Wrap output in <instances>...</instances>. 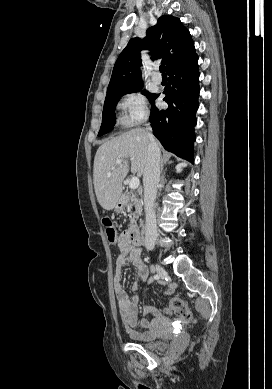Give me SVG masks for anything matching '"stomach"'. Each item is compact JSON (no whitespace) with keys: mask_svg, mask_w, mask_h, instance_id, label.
<instances>
[{"mask_svg":"<svg viewBox=\"0 0 272 389\" xmlns=\"http://www.w3.org/2000/svg\"><path fill=\"white\" fill-rule=\"evenodd\" d=\"M125 207V199L120 197L117 204L114 207L115 212L120 213L124 210Z\"/></svg>","mask_w":272,"mask_h":389,"instance_id":"0dacf381","label":"stomach"}]
</instances>
